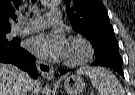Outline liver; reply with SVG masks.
Segmentation results:
<instances>
[{
    "mask_svg": "<svg viewBox=\"0 0 135 95\" xmlns=\"http://www.w3.org/2000/svg\"><path fill=\"white\" fill-rule=\"evenodd\" d=\"M27 86L34 93L38 84L19 68L0 63V95H27Z\"/></svg>",
    "mask_w": 135,
    "mask_h": 95,
    "instance_id": "obj_1",
    "label": "liver"
}]
</instances>
